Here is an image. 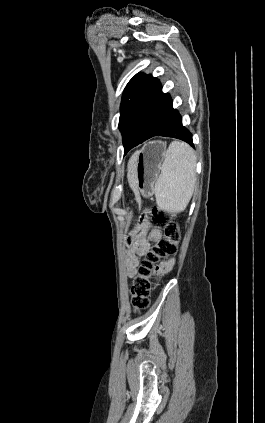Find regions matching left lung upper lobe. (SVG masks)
<instances>
[{"mask_svg": "<svg viewBox=\"0 0 265 423\" xmlns=\"http://www.w3.org/2000/svg\"><path fill=\"white\" fill-rule=\"evenodd\" d=\"M146 77H147V75H145L143 73L136 74L130 80V82L127 84V86L124 90L122 102H121V106H120V119H119V129L121 130V133H122V136H123V141H124V138H125V127H126V122H127V118H128L130 108L132 106L133 100H134L140 86L142 85V83H143V81L145 80Z\"/></svg>", "mask_w": 265, "mask_h": 423, "instance_id": "obj_1", "label": "left lung upper lobe"}]
</instances>
